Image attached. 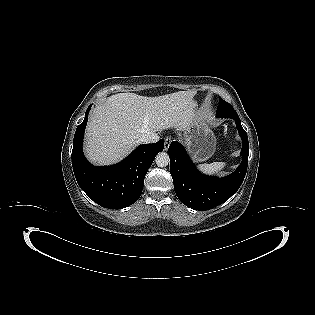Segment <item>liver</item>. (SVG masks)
<instances>
[{"mask_svg": "<svg viewBox=\"0 0 315 315\" xmlns=\"http://www.w3.org/2000/svg\"><path fill=\"white\" fill-rule=\"evenodd\" d=\"M196 91H178L158 97L118 93L91 113L86 128L85 154L97 165H110L127 156L142 135L163 129L187 130L199 116Z\"/></svg>", "mask_w": 315, "mask_h": 315, "instance_id": "6515ba94", "label": "liver"}]
</instances>
